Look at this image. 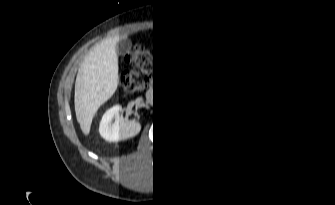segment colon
<instances>
[{
    "label": "colon",
    "mask_w": 335,
    "mask_h": 205,
    "mask_svg": "<svg viewBox=\"0 0 335 205\" xmlns=\"http://www.w3.org/2000/svg\"><path fill=\"white\" fill-rule=\"evenodd\" d=\"M182 50L189 56L205 58L212 54L217 43L211 39L187 38L180 43ZM130 70L126 72L125 82L133 90L144 87L148 81V71L154 67V57L147 48H140L127 57ZM270 101L267 91H261L256 96V103L266 106Z\"/></svg>",
    "instance_id": "obj_1"
}]
</instances>
